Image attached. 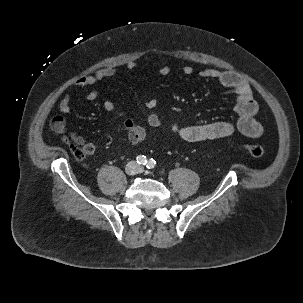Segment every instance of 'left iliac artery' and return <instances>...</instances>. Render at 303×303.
I'll list each match as a JSON object with an SVG mask.
<instances>
[{"mask_svg":"<svg viewBox=\"0 0 303 303\" xmlns=\"http://www.w3.org/2000/svg\"><path fill=\"white\" fill-rule=\"evenodd\" d=\"M155 166H156V161H155L154 159H150V160L147 162V168H148V169H153Z\"/></svg>","mask_w":303,"mask_h":303,"instance_id":"1","label":"left iliac artery"}]
</instances>
